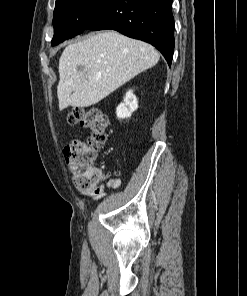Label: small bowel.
<instances>
[{
    "instance_id": "1",
    "label": "small bowel",
    "mask_w": 247,
    "mask_h": 296,
    "mask_svg": "<svg viewBox=\"0 0 247 296\" xmlns=\"http://www.w3.org/2000/svg\"><path fill=\"white\" fill-rule=\"evenodd\" d=\"M121 186L120 179H110L107 182V187H110L112 189H118ZM88 197H90L93 201L100 200L104 196H106V191L101 189L97 191H91L86 194Z\"/></svg>"
}]
</instances>
